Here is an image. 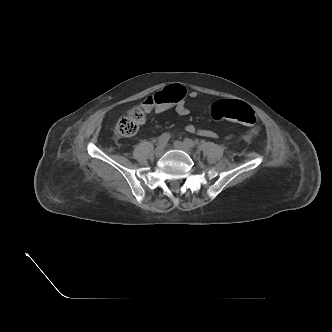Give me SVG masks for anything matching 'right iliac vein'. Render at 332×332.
<instances>
[{
  "label": "right iliac vein",
  "mask_w": 332,
  "mask_h": 332,
  "mask_svg": "<svg viewBox=\"0 0 332 332\" xmlns=\"http://www.w3.org/2000/svg\"><path fill=\"white\" fill-rule=\"evenodd\" d=\"M164 152H165V145H158L155 149V155L157 157L162 156Z\"/></svg>",
  "instance_id": "63e3f726"
}]
</instances>
